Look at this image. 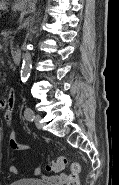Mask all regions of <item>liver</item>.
Instances as JSON below:
<instances>
[{
  "mask_svg": "<svg viewBox=\"0 0 119 185\" xmlns=\"http://www.w3.org/2000/svg\"><path fill=\"white\" fill-rule=\"evenodd\" d=\"M1 9H4V6L0 4V10H1Z\"/></svg>",
  "mask_w": 119,
  "mask_h": 185,
  "instance_id": "obj_1",
  "label": "liver"
}]
</instances>
